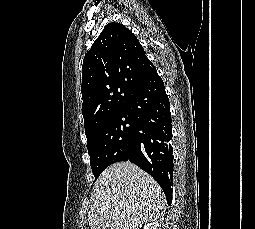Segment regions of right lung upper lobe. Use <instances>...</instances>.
Segmentation results:
<instances>
[{
  "mask_svg": "<svg viewBox=\"0 0 255 229\" xmlns=\"http://www.w3.org/2000/svg\"><path fill=\"white\" fill-rule=\"evenodd\" d=\"M155 70L129 29L115 22L106 25L83 60L81 93L86 137L123 111L141 80Z\"/></svg>",
  "mask_w": 255,
  "mask_h": 229,
  "instance_id": "1",
  "label": "right lung upper lobe"
}]
</instances>
